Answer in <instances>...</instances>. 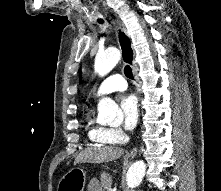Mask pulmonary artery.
<instances>
[{
  "label": "pulmonary artery",
  "mask_w": 221,
  "mask_h": 191,
  "mask_svg": "<svg viewBox=\"0 0 221 191\" xmlns=\"http://www.w3.org/2000/svg\"><path fill=\"white\" fill-rule=\"evenodd\" d=\"M127 88V82L121 75H113L105 79L97 88L95 98H100L114 91H124Z\"/></svg>",
  "instance_id": "pulmonary-artery-1"
}]
</instances>
